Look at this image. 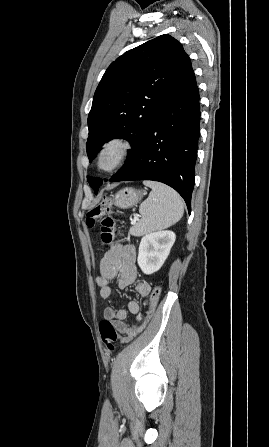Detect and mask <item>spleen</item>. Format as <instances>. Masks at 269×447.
I'll return each mask as SVG.
<instances>
[{"mask_svg": "<svg viewBox=\"0 0 269 447\" xmlns=\"http://www.w3.org/2000/svg\"><path fill=\"white\" fill-rule=\"evenodd\" d=\"M152 188L149 198L142 202L139 214L142 218L138 224L130 227L132 235H144L157 229H165L176 224L184 214L183 200L175 190L160 182H143Z\"/></svg>", "mask_w": 269, "mask_h": 447, "instance_id": "obj_1", "label": "spleen"}]
</instances>
